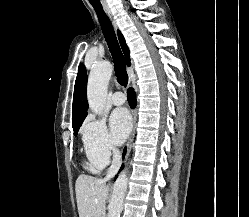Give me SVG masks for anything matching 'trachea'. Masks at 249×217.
Listing matches in <instances>:
<instances>
[{
	"label": "trachea",
	"instance_id": "trachea-1",
	"mask_svg": "<svg viewBox=\"0 0 249 217\" xmlns=\"http://www.w3.org/2000/svg\"><path fill=\"white\" fill-rule=\"evenodd\" d=\"M93 8L98 16L101 29L103 31L105 40L111 52L114 71L117 77V81L120 85L126 86L128 83V75L126 72V62L123 53L120 49L119 43L116 38L115 31L113 29L112 23L108 16L106 15L102 6H94Z\"/></svg>",
	"mask_w": 249,
	"mask_h": 217
}]
</instances>
